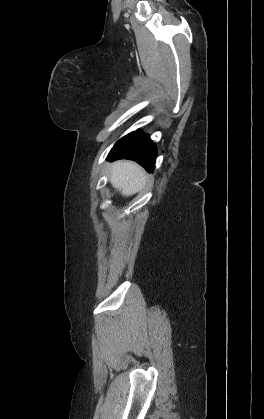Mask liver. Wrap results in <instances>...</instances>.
<instances>
[{
  "label": "liver",
  "instance_id": "liver-1",
  "mask_svg": "<svg viewBox=\"0 0 264 419\" xmlns=\"http://www.w3.org/2000/svg\"><path fill=\"white\" fill-rule=\"evenodd\" d=\"M146 178L144 170L132 161H116L110 168V183L124 196L137 193L143 187Z\"/></svg>",
  "mask_w": 264,
  "mask_h": 419
}]
</instances>
